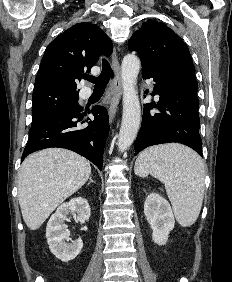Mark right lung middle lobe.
Returning a JSON list of instances; mask_svg holds the SVG:
<instances>
[{
    "label": "right lung middle lobe",
    "instance_id": "obj_1",
    "mask_svg": "<svg viewBox=\"0 0 232 282\" xmlns=\"http://www.w3.org/2000/svg\"><path fill=\"white\" fill-rule=\"evenodd\" d=\"M78 98V93L63 90L33 91L32 125L42 123L59 112L77 110L80 108Z\"/></svg>",
    "mask_w": 232,
    "mask_h": 282
}]
</instances>
